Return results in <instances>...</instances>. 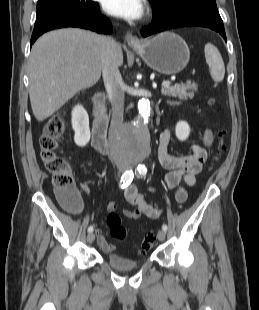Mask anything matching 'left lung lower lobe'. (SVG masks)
<instances>
[{"label": "left lung lower lobe", "mask_w": 259, "mask_h": 310, "mask_svg": "<svg viewBox=\"0 0 259 310\" xmlns=\"http://www.w3.org/2000/svg\"><path fill=\"white\" fill-rule=\"evenodd\" d=\"M185 26H201L210 28L218 32L226 40L223 21L218 10H208L202 8L189 10L163 21L152 22L150 25L141 29V35L143 37H147L161 31Z\"/></svg>", "instance_id": "1"}]
</instances>
